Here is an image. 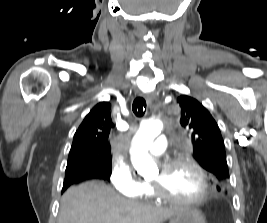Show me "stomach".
Listing matches in <instances>:
<instances>
[{
  "label": "stomach",
  "instance_id": "0dacf381",
  "mask_svg": "<svg viewBox=\"0 0 267 223\" xmlns=\"http://www.w3.org/2000/svg\"><path fill=\"white\" fill-rule=\"evenodd\" d=\"M169 223H206V221L199 210L185 206L169 219Z\"/></svg>",
  "mask_w": 267,
  "mask_h": 223
}]
</instances>
